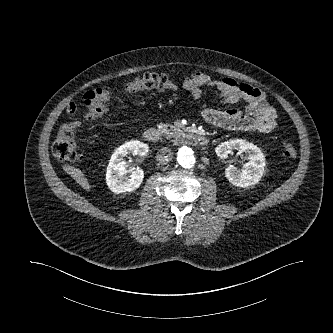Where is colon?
Returning <instances> with one entry per match:
<instances>
[{"mask_svg":"<svg viewBox=\"0 0 333 333\" xmlns=\"http://www.w3.org/2000/svg\"><path fill=\"white\" fill-rule=\"evenodd\" d=\"M176 87L175 83L167 76L156 73L144 74L131 80L127 84L129 92H139L144 90H171ZM113 90L110 88H96L88 91L84 95V103L87 109L84 119L86 121H93L100 118L106 111V103L112 97ZM80 122H71L62 125L52 143V154L64 165H69L79 160V153L77 151L75 142V129ZM282 155L285 158H295L297 150L291 143H284L282 148Z\"/></svg>","mask_w":333,"mask_h":333,"instance_id":"obj_1","label":"colon"}]
</instances>
